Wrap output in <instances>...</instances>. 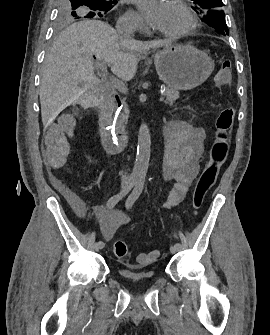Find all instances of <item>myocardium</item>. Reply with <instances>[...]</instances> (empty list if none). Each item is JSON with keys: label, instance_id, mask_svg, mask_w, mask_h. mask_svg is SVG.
<instances>
[{"label": "myocardium", "instance_id": "f54148a6", "mask_svg": "<svg viewBox=\"0 0 270 335\" xmlns=\"http://www.w3.org/2000/svg\"><path fill=\"white\" fill-rule=\"evenodd\" d=\"M176 9L187 17L188 25L185 29L174 33V36L175 37L187 36V35L191 34L196 29V27L198 26V18L194 14V12L187 6L179 5V6H177ZM173 78H180V77H173Z\"/></svg>", "mask_w": 270, "mask_h": 335}]
</instances>
